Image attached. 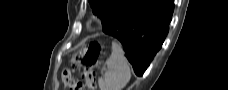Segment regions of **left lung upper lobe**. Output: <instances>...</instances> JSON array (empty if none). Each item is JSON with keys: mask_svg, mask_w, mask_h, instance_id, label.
Masks as SVG:
<instances>
[{"mask_svg": "<svg viewBox=\"0 0 228 90\" xmlns=\"http://www.w3.org/2000/svg\"><path fill=\"white\" fill-rule=\"evenodd\" d=\"M132 0H89L94 14L102 19L103 30L110 27L124 13Z\"/></svg>", "mask_w": 228, "mask_h": 90, "instance_id": "1", "label": "left lung upper lobe"}]
</instances>
